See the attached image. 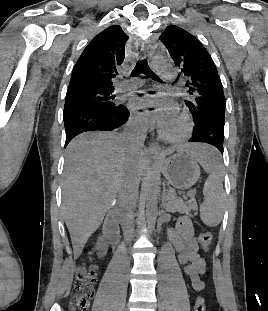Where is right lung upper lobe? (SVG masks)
I'll return each mask as SVG.
<instances>
[{
    "label": "right lung upper lobe",
    "instance_id": "1",
    "mask_svg": "<svg viewBox=\"0 0 268 311\" xmlns=\"http://www.w3.org/2000/svg\"><path fill=\"white\" fill-rule=\"evenodd\" d=\"M128 38L120 25L110 26L96 35L76 62L68 88L92 86L114 89L111 79L124 61Z\"/></svg>",
    "mask_w": 268,
    "mask_h": 311
}]
</instances>
